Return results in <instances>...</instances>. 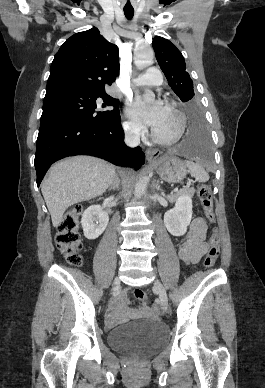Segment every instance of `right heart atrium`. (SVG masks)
Returning a JSON list of instances; mask_svg holds the SVG:
<instances>
[{"mask_svg": "<svg viewBox=\"0 0 265 388\" xmlns=\"http://www.w3.org/2000/svg\"><path fill=\"white\" fill-rule=\"evenodd\" d=\"M126 129L127 132L133 137H141L145 133V128L143 125L140 122L132 119L126 122Z\"/></svg>", "mask_w": 265, "mask_h": 388, "instance_id": "d8ad5b80", "label": "right heart atrium"}]
</instances>
